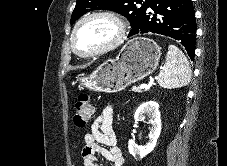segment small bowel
<instances>
[{"instance_id":"obj_1","label":"small bowel","mask_w":227,"mask_h":166,"mask_svg":"<svg viewBox=\"0 0 227 166\" xmlns=\"http://www.w3.org/2000/svg\"><path fill=\"white\" fill-rule=\"evenodd\" d=\"M113 115V107L106 105L94 120L90 132L85 134V145L81 151L84 166H104L101 159L112 166H124L125 160L116 145Z\"/></svg>"}]
</instances>
